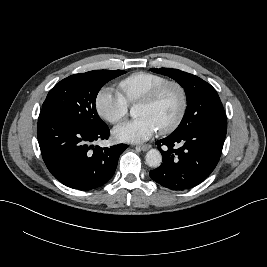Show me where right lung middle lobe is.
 I'll return each instance as SVG.
<instances>
[{"instance_id":"1","label":"right lung middle lobe","mask_w":267,"mask_h":267,"mask_svg":"<svg viewBox=\"0 0 267 267\" xmlns=\"http://www.w3.org/2000/svg\"><path fill=\"white\" fill-rule=\"evenodd\" d=\"M125 73L122 70H95L71 75L49 91L42 110L58 113L89 129L104 128L107 125L96 111L97 94L105 83Z\"/></svg>"}]
</instances>
